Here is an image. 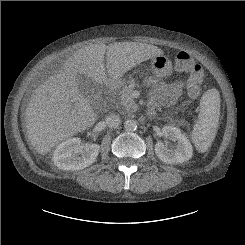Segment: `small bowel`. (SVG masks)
<instances>
[{
    "label": "small bowel",
    "mask_w": 245,
    "mask_h": 245,
    "mask_svg": "<svg viewBox=\"0 0 245 245\" xmlns=\"http://www.w3.org/2000/svg\"><path fill=\"white\" fill-rule=\"evenodd\" d=\"M146 83L152 91V102L148 110L150 116H153L160 106H173L183 92L181 81L168 84L158 78H148Z\"/></svg>",
    "instance_id": "small-bowel-1"
}]
</instances>
